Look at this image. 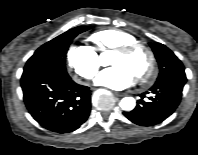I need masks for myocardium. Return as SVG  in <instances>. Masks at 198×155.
Instances as JSON below:
<instances>
[{"instance_id": "1", "label": "myocardium", "mask_w": 198, "mask_h": 155, "mask_svg": "<svg viewBox=\"0 0 198 155\" xmlns=\"http://www.w3.org/2000/svg\"><path fill=\"white\" fill-rule=\"evenodd\" d=\"M139 49L143 50L147 54L149 63H148V67L145 70V72L138 75L136 77V79L140 84H148L154 78V75L156 72V67H157L155 53L148 45H146L142 42L135 41V42L123 44V45L115 48V52L121 53V54H129V53L139 50Z\"/></svg>"}]
</instances>
